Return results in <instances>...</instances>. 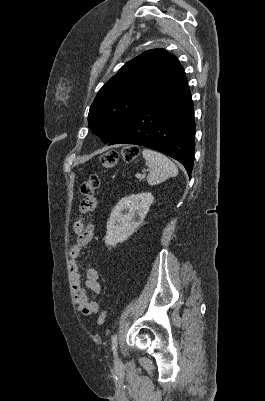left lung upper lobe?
Listing matches in <instances>:
<instances>
[{"label":"left lung upper lobe","mask_w":265,"mask_h":401,"mask_svg":"<svg viewBox=\"0 0 265 401\" xmlns=\"http://www.w3.org/2000/svg\"><path fill=\"white\" fill-rule=\"evenodd\" d=\"M183 72L178 59L168 51L143 52L123 65L99 90L90 107L89 128L108 143Z\"/></svg>","instance_id":"5c2ea615"}]
</instances>
